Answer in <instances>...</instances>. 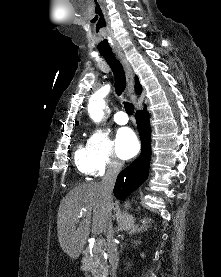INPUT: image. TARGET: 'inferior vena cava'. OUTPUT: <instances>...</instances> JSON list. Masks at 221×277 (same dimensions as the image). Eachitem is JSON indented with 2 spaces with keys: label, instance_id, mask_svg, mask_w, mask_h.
Listing matches in <instances>:
<instances>
[{
  "label": "inferior vena cava",
  "instance_id": "inferior-vena-cava-1",
  "mask_svg": "<svg viewBox=\"0 0 221 277\" xmlns=\"http://www.w3.org/2000/svg\"><path fill=\"white\" fill-rule=\"evenodd\" d=\"M121 168L122 164L120 162H116L114 160L110 161L107 165L106 174L101 181L103 196L107 200L110 208V217L112 210V191L115 185L116 178L121 171ZM107 256L112 271V277H115L119 258L117 254V247L114 240V230L111 221L109 222L107 228Z\"/></svg>",
  "mask_w": 221,
  "mask_h": 277
}]
</instances>
